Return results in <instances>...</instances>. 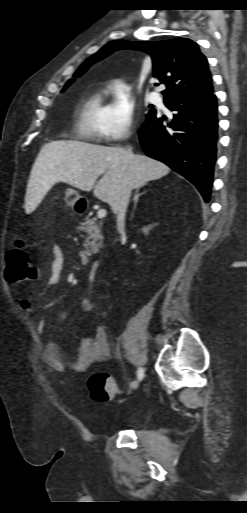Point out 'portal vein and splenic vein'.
<instances>
[{
  "label": "portal vein and splenic vein",
  "instance_id": "obj_1",
  "mask_svg": "<svg viewBox=\"0 0 247 513\" xmlns=\"http://www.w3.org/2000/svg\"><path fill=\"white\" fill-rule=\"evenodd\" d=\"M106 214H107V212H106V210H105V209H100V210H98V212H97V217H98V218H100V219H102V218H105V217H106Z\"/></svg>",
  "mask_w": 247,
  "mask_h": 513
}]
</instances>
